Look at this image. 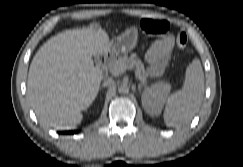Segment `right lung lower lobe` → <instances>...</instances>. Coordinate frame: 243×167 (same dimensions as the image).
<instances>
[{"mask_svg": "<svg viewBox=\"0 0 243 167\" xmlns=\"http://www.w3.org/2000/svg\"><path fill=\"white\" fill-rule=\"evenodd\" d=\"M65 133H76V131H71V132H65Z\"/></svg>", "mask_w": 243, "mask_h": 167, "instance_id": "obj_1", "label": "right lung lower lobe"}]
</instances>
